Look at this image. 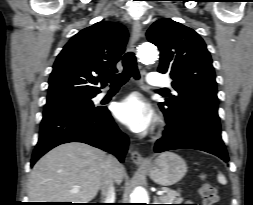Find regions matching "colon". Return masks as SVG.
<instances>
[{
    "mask_svg": "<svg viewBox=\"0 0 253 205\" xmlns=\"http://www.w3.org/2000/svg\"><path fill=\"white\" fill-rule=\"evenodd\" d=\"M199 195L204 205H216L218 203L219 197L217 189L205 178V176L199 187Z\"/></svg>",
    "mask_w": 253,
    "mask_h": 205,
    "instance_id": "1",
    "label": "colon"
}]
</instances>
